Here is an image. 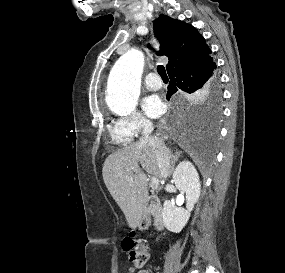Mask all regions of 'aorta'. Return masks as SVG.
<instances>
[{
    "instance_id": "obj_1",
    "label": "aorta",
    "mask_w": 285,
    "mask_h": 273,
    "mask_svg": "<svg viewBox=\"0 0 285 273\" xmlns=\"http://www.w3.org/2000/svg\"><path fill=\"white\" fill-rule=\"evenodd\" d=\"M143 66V54L135 49L128 51L116 61L108 78L106 95V103L112 112L128 115L135 110L140 94Z\"/></svg>"
}]
</instances>
